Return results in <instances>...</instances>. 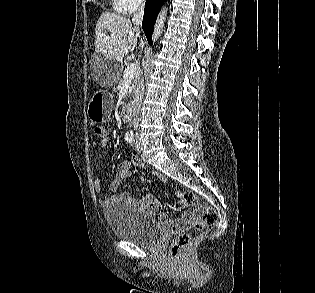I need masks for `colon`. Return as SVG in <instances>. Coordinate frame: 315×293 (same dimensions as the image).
Returning a JSON list of instances; mask_svg holds the SVG:
<instances>
[{
    "mask_svg": "<svg viewBox=\"0 0 315 293\" xmlns=\"http://www.w3.org/2000/svg\"><path fill=\"white\" fill-rule=\"evenodd\" d=\"M94 134L99 138H104L107 135V131L103 126H97L94 128ZM176 195L184 206H193L198 205L197 196L190 191H177ZM217 221V213L213 207H205L202 210L201 216L199 219L194 220L190 223L189 226L202 229L204 227L215 224ZM176 231V236L171 242L169 254L172 259H178L182 256L185 249L190 243V235L183 230H174Z\"/></svg>",
    "mask_w": 315,
    "mask_h": 293,
    "instance_id": "colon-1",
    "label": "colon"
}]
</instances>
